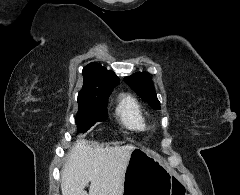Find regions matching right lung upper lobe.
<instances>
[{
	"label": "right lung upper lobe",
	"mask_w": 240,
	"mask_h": 195,
	"mask_svg": "<svg viewBox=\"0 0 240 195\" xmlns=\"http://www.w3.org/2000/svg\"><path fill=\"white\" fill-rule=\"evenodd\" d=\"M84 82L78 95V101L102 99L107 100L112 89L119 83V78L113 71L100 64L92 62L82 71Z\"/></svg>",
	"instance_id": "obj_1"
}]
</instances>
